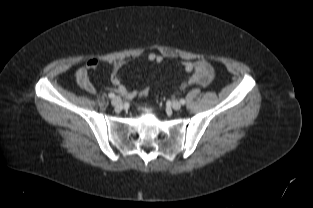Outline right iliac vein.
Instances as JSON below:
<instances>
[{"mask_svg":"<svg viewBox=\"0 0 313 208\" xmlns=\"http://www.w3.org/2000/svg\"><path fill=\"white\" fill-rule=\"evenodd\" d=\"M112 105L115 107V109H120L122 107V99L120 97H114L111 101Z\"/></svg>","mask_w":313,"mask_h":208,"instance_id":"right-iliac-vein-1","label":"right iliac vein"}]
</instances>
